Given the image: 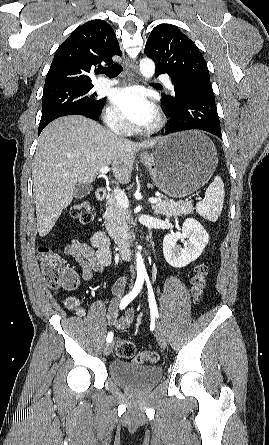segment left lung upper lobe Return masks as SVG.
Returning a JSON list of instances; mask_svg holds the SVG:
<instances>
[{"instance_id":"1","label":"left lung upper lobe","mask_w":269,"mask_h":445,"mask_svg":"<svg viewBox=\"0 0 269 445\" xmlns=\"http://www.w3.org/2000/svg\"><path fill=\"white\" fill-rule=\"evenodd\" d=\"M144 52L154 60L156 72L167 73L173 85L194 82L210 84L209 70L203 55L174 25L156 26L150 33Z\"/></svg>"}]
</instances>
